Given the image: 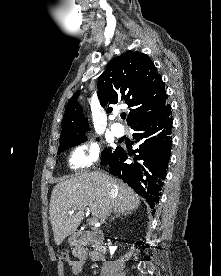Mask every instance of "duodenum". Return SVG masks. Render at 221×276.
<instances>
[{"label":"duodenum","instance_id":"duodenum-1","mask_svg":"<svg viewBox=\"0 0 221 276\" xmlns=\"http://www.w3.org/2000/svg\"><path fill=\"white\" fill-rule=\"evenodd\" d=\"M76 241L78 245L91 242L95 246V252L102 257V254L106 250V246L103 243L102 234L98 231H77ZM103 258V257H102Z\"/></svg>","mask_w":221,"mask_h":276}]
</instances>
